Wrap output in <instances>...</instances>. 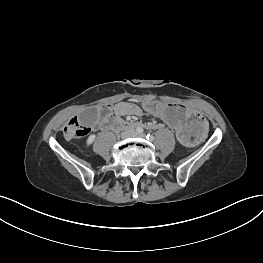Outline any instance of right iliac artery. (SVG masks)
<instances>
[{
    "label": "right iliac artery",
    "instance_id": "obj_1",
    "mask_svg": "<svg viewBox=\"0 0 263 263\" xmlns=\"http://www.w3.org/2000/svg\"><path fill=\"white\" fill-rule=\"evenodd\" d=\"M137 132L138 133H142L143 132V129L141 127L137 128Z\"/></svg>",
    "mask_w": 263,
    "mask_h": 263
}]
</instances>
